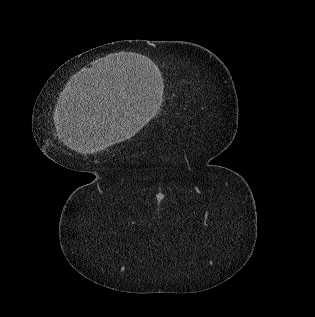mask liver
Masks as SVG:
<instances>
[{
	"label": "liver",
	"instance_id": "1",
	"mask_svg": "<svg viewBox=\"0 0 315 317\" xmlns=\"http://www.w3.org/2000/svg\"><path fill=\"white\" fill-rule=\"evenodd\" d=\"M92 104V101H83L82 106L76 108L70 104L63 109V115H56L64 144L79 153L103 150L131 138L141 127L140 123L131 121L116 109L94 111Z\"/></svg>",
	"mask_w": 315,
	"mask_h": 317
}]
</instances>
